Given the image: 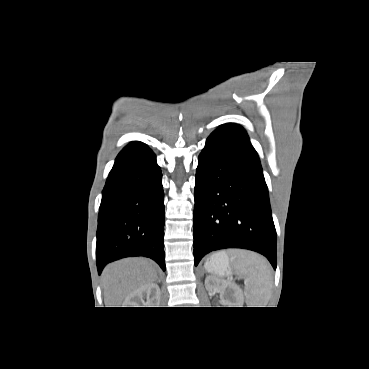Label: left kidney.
<instances>
[{"mask_svg":"<svg viewBox=\"0 0 369 369\" xmlns=\"http://www.w3.org/2000/svg\"><path fill=\"white\" fill-rule=\"evenodd\" d=\"M205 287L208 291H216L227 296L224 300L229 307H243V295L239 288L232 286L225 280H220L214 276H207Z\"/></svg>","mask_w":369,"mask_h":369,"instance_id":"left-kidney-1","label":"left kidney"}]
</instances>
